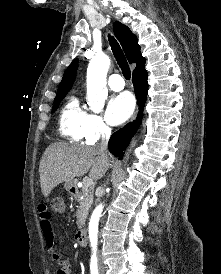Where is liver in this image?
I'll use <instances>...</instances> for the list:
<instances>
[{
	"label": "liver",
	"instance_id": "6515ba94",
	"mask_svg": "<svg viewBox=\"0 0 221 274\" xmlns=\"http://www.w3.org/2000/svg\"><path fill=\"white\" fill-rule=\"evenodd\" d=\"M108 167V157L102 156L97 147L53 143L46 148L40 161L42 194L48 197L59 184L72 182L75 177L83 176L88 171L90 179L98 180Z\"/></svg>",
	"mask_w": 221,
	"mask_h": 274
}]
</instances>
